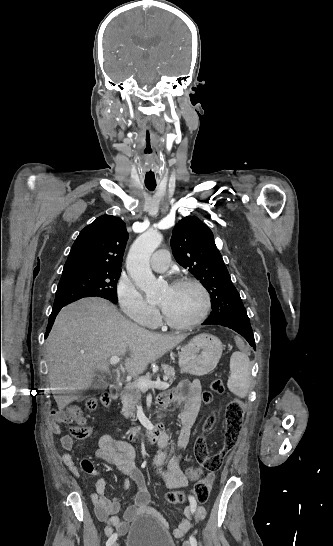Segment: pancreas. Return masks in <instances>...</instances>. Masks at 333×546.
Returning <instances> with one entry per match:
<instances>
[{
    "label": "pancreas",
    "instance_id": "pancreas-1",
    "mask_svg": "<svg viewBox=\"0 0 333 546\" xmlns=\"http://www.w3.org/2000/svg\"><path fill=\"white\" fill-rule=\"evenodd\" d=\"M161 367L164 371L165 376L170 380V382H172L175 379L174 368L166 364H162ZM151 378H152V374L147 373L145 376H141L137 378L134 382L129 383L124 387V390L122 391L123 394L121 399V402L123 405L121 413L123 414L124 417L126 418L132 417L133 418L132 421H135L136 406L139 400L141 399V389L138 388L137 382L140 379L150 380Z\"/></svg>",
    "mask_w": 333,
    "mask_h": 546
}]
</instances>
